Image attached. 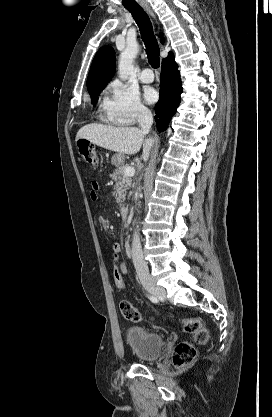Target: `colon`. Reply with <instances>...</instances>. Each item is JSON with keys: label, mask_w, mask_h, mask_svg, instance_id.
Returning <instances> with one entry per match:
<instances>
[{"label": "colon", "mask_w": 272, "mask_h": 417, "mask_svg": "<svg viewBox=\"0 0 272 417\" xmlns=\"http://www.w3.org/2000/svg\"><path fill=\"white\" fill-rule=\"evenodd\" d=\"M79 154L81 159L91 165H97L99 163V152L97 148L86 140H82L78 143ZM115 258L118 257L114 254ZM113 278L115 285L120 290L125 288L124 276L120 270L119 265H115L113 270ZM120 311L123 317L129 321L140 320V313L135 306L128 301H122L120 304ZM185 332L192 334L198 342H204L208 337V332L202 325V323L193 318H187L182 321ZM197 356V349L194 345L188 342L179 343L174 350L173 362L180 368H186L193 363Z\"/></svg>", "instance_id": "1"}]
</instances>
